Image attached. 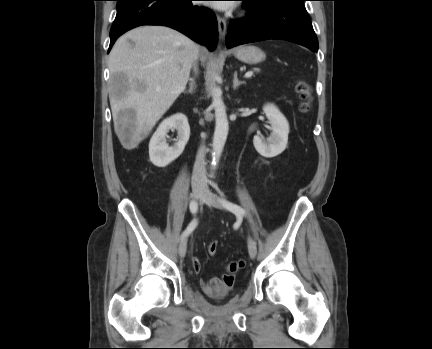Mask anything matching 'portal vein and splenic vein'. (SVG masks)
Wrapping results in <instances>:
<instances>
[{"mask_svg":"<svg viewBox=\"0 0 432 349\" xmlns=\"http://www.w3.org/2000/svg\"><path fill=\"white\" fill-rule=\"evenodd\" d=\"M253 75L252 71H249L245 74V78H250Z\"/></svg>","mask_w":432,"mask_h":349,"instance_id":"18ae733b","label":"portal vein and splenic vein"}]
</instances>
